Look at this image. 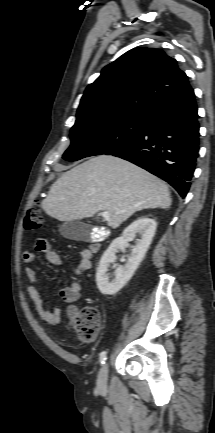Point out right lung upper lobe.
<instances>
[{
	"label": "right lung upper lobe",
	"mask_w": 215,
	"mask_h": 433,
	"mask_svg": "<svg viewBox=\"0 0 215 433\" xmlns=\"http://www.w3.org/2000/svg\"><path fill=\"white\" fill-rule=\"evenodd\" d=\"M188 85L176 60L161 49L134 48L104 67L86 88L76 123L143 115Z\"/></svg>",
	"instance_id": "right-lung-upper-lobe-1"
}]
</instances>
